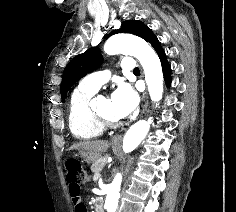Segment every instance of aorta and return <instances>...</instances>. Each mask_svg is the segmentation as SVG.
<instances>
[{"instance_id": "obj_1", "label": "aorta", "mask_w": 236, "mask_h": 212, "mask_svg": "<svg viewBox=\"0 0 236 212\" xmlns=\"http://www.w3.org/2000/svg\"><path fill=\"white\" fill-rule=\"evenodd\" d=\"M104 51L109 55L122 53L135 56L144 69L145 81L151 100L158 102L162 99L163 73L161 63L155 51L146 41L130 34L119 33L108 39ZM151 123L152 118L140 120L128 129L122 145L125 153L133 151L141 143L148 134ZM121 182L122 175L118 173L105 189L104 208L107 212H117Z\"/></svg>"}]
</instances>
